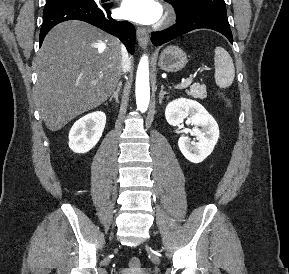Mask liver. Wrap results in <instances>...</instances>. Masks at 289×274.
<instances>
[{
    "instance_id": "6515ba94",
    "label": "liver",
    "mask_w": 289,
    "mask_h": 274,
    "mask_svg": "<svg viewBox=\"0 0 289 274\" xmlns=\"http://www.w3.org/2000/svg\"><path fill=\"white\" fill-rule=\"evenodd\" d=\"M35 63V103L55 132L112 95L122 70L121 45L87 23L67 21L47 34Z\"/></svg>"
}]
</instances>
